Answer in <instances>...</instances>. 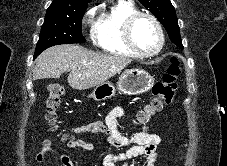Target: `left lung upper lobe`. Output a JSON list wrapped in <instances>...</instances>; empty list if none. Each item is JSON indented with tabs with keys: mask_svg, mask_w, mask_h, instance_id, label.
Instances as JSON below:
<instances>
[{
	"mask_svg": "<svg viewBox=\"0 0 227 166\" xmlns=\"http://www.w3.org/2000/svg\"><path fill=\"white\" fill-rule=\"evenodd\" d=\"M165 27L170 40L183 48L175 9L170 0H139Z\"/></svg>",
	"mask_w": 227,
	"mask_h": 166,
	"instance_id": "obj_1",
	"label": "left lung upper lobe"
}]
</instances>
